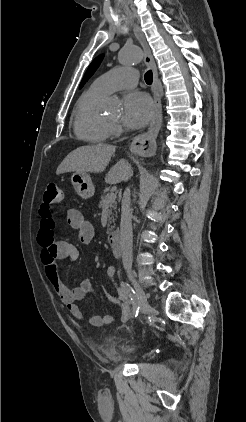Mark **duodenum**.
Masks as SVG:
<instances>
[{
	"instance_id": "obj_1",
	"label": "duodenum",
	"mask_w": 246,
	"mask_h": 422,
	"mask_svg": "<svg viewBox=\"0 0 246 422\" xmlns=\"http://www.w3.org/2000/svg\"><path fill=\"white\" fill-rule=\"evenodd\" d=\"M108 244L116 257H121L122 248H121V237L118 231L111 232L108 235Z\"/></svg>"
}]
</instances>
